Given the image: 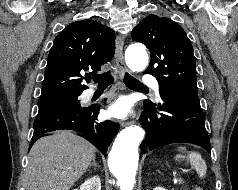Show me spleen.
Here are the masks:
<instances>
[{
    "label": "spleen",
    "instance_id": "1",
    "mask_svg": "<svg viewBox=\"0 0 238 190\" xmlns=\"http://www.w3.org/2000/svg\"><path fill=\"white\" fill-rule=\"evenodd\" d=\"M181 151H186L184 147H179ZM176 158H185L184 155H177ZM186 159L195 168L199 177L203 178L206 174L207 166L201 155L197 152H189Z\"/></svg>",
    "mask_w": 238,
    "mask_h": 190
}]
</instances>
